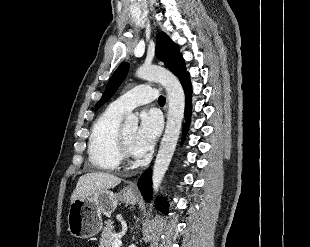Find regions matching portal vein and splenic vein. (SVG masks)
Instances as JSON below:
<instances>
[{
  "label": "portal vein and splenic vein",
  "mask_w": 310,
  "mask_h": 247,
  "mask_svg": "<svg viewBox=\"0 0 310 247\" xmlns=\"http://www.w3.org/2000/svg\"><path fill=\"white\" fill-rule=\"evenodd\" d=\"M121 237L122 235L116 237V239L112 242V247H120L122 245Z\"/></svg>",
  "instance_id": "1"
}]
</instances>
